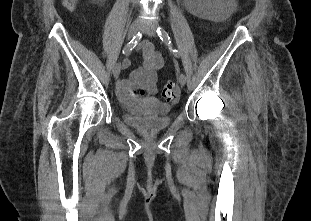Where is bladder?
Segmentation results:
<instances>
[{
	"label": "bladder",
	"instance_id": "1",
	"mask_svg": "<svg viewBox=\"0 0 311 221\" xmlns=\"http://www.w3.org/2000/svg\"><path fill=\"white\" fill-rule=\"evenodd\" d=\"M122 108L125 111L124 124L142 135H154L171 126L172 119L169 114L172 106L157 97L150 96L139 103L125 102Z\"/></svg>",
	"mask_w": 311,
	"mask_h": 221
}]
</instances>
